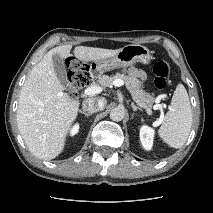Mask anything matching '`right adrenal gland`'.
<instances>
[{"mask_svg":"<svg viewBox=\"0 0 213 213\" xmlns=\"http://www.w3.org/2000/svg\"><path fill=\"white\" fill-rule=\"evenodd\" d=\"M79 113H81V114H83V115H85L86 117H89V116H91L92 115V113H90V112H86L85 110H80L79 111Z\"/></svg>","mask_w":213,"mask_h":213,"instance_id":"2a0ac1e0","label":"right adrenal gland"}]
</instances>
